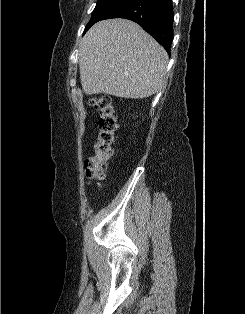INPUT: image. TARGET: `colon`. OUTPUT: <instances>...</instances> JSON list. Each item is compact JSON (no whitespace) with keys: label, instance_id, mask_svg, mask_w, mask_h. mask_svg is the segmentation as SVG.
<instances>
[{"label":"colon","instance_id":"obj_1","mask_svg":"<svg viewBox=\"0 0 245 314\" xmlns=\"http://www.w3.org/2000/svg\"><path fill=\"white\" fill-rule=\"evenodd\" d=\"M90 105L99 111V133L94 145V155L86 161L87 177L94 183L105 178L107 162L114 153L115 132L117 121L112 100L107 95L94 96L89 100Z\"/></svg>","mask_w":245,"mask_h":314}]
</instances>
